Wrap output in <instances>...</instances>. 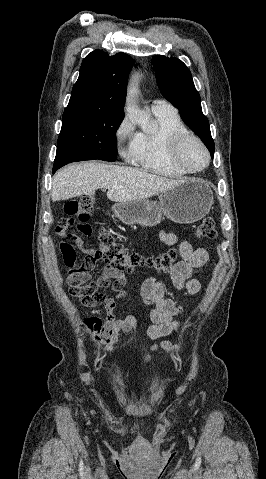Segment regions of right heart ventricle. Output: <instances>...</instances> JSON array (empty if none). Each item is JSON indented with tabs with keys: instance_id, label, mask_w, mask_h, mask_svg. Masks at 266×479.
<instances>
[{
	"instance_id": "e07e8e85",
	"label": "right heart ventricle",
	"mask_w": 266,
	"mask_h": 479,
	"mask_svg": "<svg viewBox=\"0 0 266 479\" xmlns=\"http://www.w3.org/2000/svg\"><path fill=\"white\" fill-rule=\"evenodd\" d=\"M154 112V111H153ZM158 128L153 132L136 135L132 161L143 170L165 177H180L184 172L177 169L168 159L169 138L177 133L188 132L176 112H154Z\"/></svg>"
}]
</instances>
